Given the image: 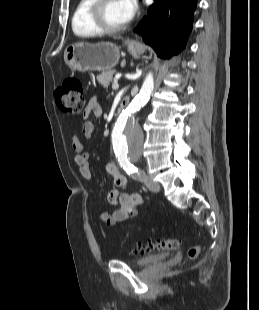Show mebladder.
<instances>
[{
    "instance_id": "obj_1",
    "label": "bladder",
    "mask_w": 259,
    "mask_h": 310,
    "mask_svg": "<svg viewBox=\"0 0 259 310\" xmlns=\"http://www.w3.org/2000/svg\"><path fill=\"white\" fill-rule=\"evenodd\" d=\"M171 255H172L171 253H159V254L148 255L146 257L133 261L132 265L134 267H144L150 264L163 261L167 259L168 257H170Z\"/></svg>"
}]
</instances>
